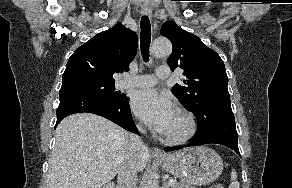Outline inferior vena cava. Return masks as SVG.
I'll return each mask as SVG.
<instances>
[{
    "instance_id": "inferior-vena-cava-1",
    "label": "inferior vena cava",
    "mask_w": 292,
    "mask_h": 188,
    "mask_svg": "<svg viewBox=\"0 0 292 188\" xmlns=\"http://www.w3.org/2000/svg\"><path fill=\"white\" fill-rule=\"evenodd\" d=\"M141 133H145L141 126H138ZM145 145L139 136L130 134L128 139V154L118 169V180L116 188H136L137 167L136 153Z\"/></svg>"
}]
</instances>
